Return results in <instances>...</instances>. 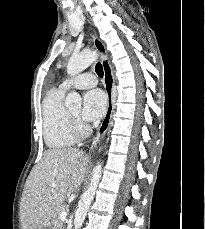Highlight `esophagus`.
Segmentation results:
<instances>
[{"instance_id":"34e87169","label":"esophagus","mask_w":205,"mask_h":229,"mask_svg":"<svg viewBox=\"0 0 205 229\" xmlns=\"http://www.w3.org/2000/svg\"><path fill=\"white\" fill-rule=\"evenodd\" d=\"M94 46L100 54L101 64H102L103 71H104V82H105V89H106L107 97H108V104H107V109H106L104 118L102 120V123L100 124L98 131L96 133V136L93 138L92 143L89 146V151H92L97 146V144L100 142V140H102L103 137L105 136L108 130L109 124H110L111 115L113 111V85H114V82H113L112 69L109 63V59H108V54H107L104 44L97 36H94Z\"/></svg>"}]
</instances>
